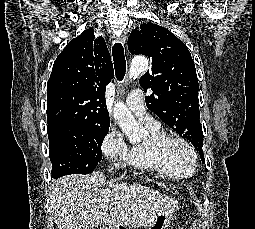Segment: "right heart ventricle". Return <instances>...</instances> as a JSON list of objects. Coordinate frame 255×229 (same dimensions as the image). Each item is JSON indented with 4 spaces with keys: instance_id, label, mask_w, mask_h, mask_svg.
I'll use <instances>...</instances> for the list:
<instances>
[{
    "instance_id": "right-heart-ventricle-1",
    "label": "right heart ventricle",
    "mask_w": 255,
    "mask_h": 229,
    "mask_svg": "<svg viewBox=\"0 0 255 229\" xmlns=\"http://www.w3.org/2000/svg\"><path fill=\"white\" fill-rule=\"evenodd\" d=\"M149 136L139 144H132L125 154L126 162L139 169L150 170L168 178H182L190 175L193 170L188 167H173L157 154L154 141L165 133L161 127H148Z\"/></svg>"
}]
</instances>
